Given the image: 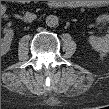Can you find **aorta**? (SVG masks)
Returning <instances> with one entry per match:
<instances>
[{"mask_svg": "<svg viewBox=\"0 0 109 109\" xmlns=\"http://www.w3.org/2000/svg\"><path fill=\"white\" fill-rule=\"evenodd\" d=\"M46 25L49 26V27H55L58 22H59V19L56 15H49L46 17Z\"/></svg>", "mask_w": 109, "mask_h": 109, "instance_id": "762f6f07", "label": "aorta"}]
</instances>
